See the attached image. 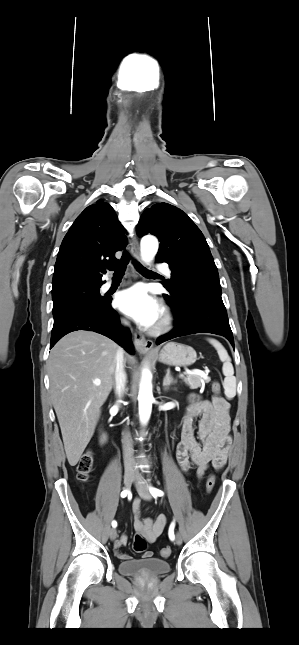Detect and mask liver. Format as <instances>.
Returning a JSON list of instances; mask_svg holds the SVG:
<instances>
[{"mask_svg": "<svg viewBox=\"0 0 299 645\" xmlns=\"http://www.w3.org/2000/svg\"><path fill=\"white\" fill-rule=\"evenodd\" d=\"M118 349L105 336L81 330L64 336L50 352V394L71 466L78 463L92 438L101 407L115 384ZM127 360L134 361L131 356ZM95 380L101 384L94 385Z\"/></svg>", "mask_w": 299, "mask_h": 645, "instance_id": "obj_1", "label": "liver"}]
</instances>
